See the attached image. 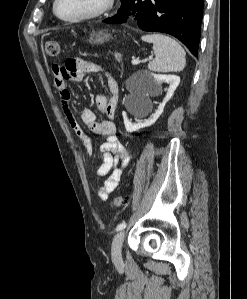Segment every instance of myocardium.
Listing matches in <instances>:
<instances>
[{"label":"myocardium","instance_id":"1","mask_svg":"<svg viewBox=\"0 0 247 299\" xmlns=\"http://www.w3.org/2000/svg\"><path fill=\"white\" fill-rule=\"evenodd\" d=\"M60 0H54L53 3V13L54 15L61 21L66 22V23H78V22H83L87 20H91L94 18H97L101 15H103L105 12H107L113 5L114 0H101L99 5L92 11L85 13L83 15L73 17V18H65L59 15L57 11V5Z\"/></svg>","mask_w":247,"mask_h":299}]
</instances>
